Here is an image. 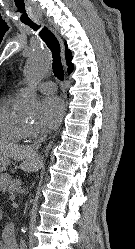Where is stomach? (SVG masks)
I'll return each instance as SVG.
<instances>
[{"instance_id":"1","label":"stomach","mask_w":135,"mask_h":249,"mask_svg":"<svg viewBox=\"0 0 135 249\" xmlns=\"http://www.w3.org/2000/svg\"><path fill=\"white\" fill-rule=\"evenodd\" d=\"M9 163L10 161L7 157L0 155V182L3 180V178H5L3 172L6 170ZM7 182H9V179L7 180Z\"/></svg>"}]
</instances>
